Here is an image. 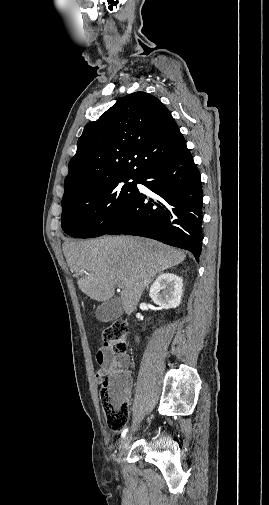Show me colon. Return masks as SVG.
I'll use <instances>...</instances> for the list:
<instances>
[{
  "label": "colon",
  "mask_w": 269,
  "mask_h": 505,
  "mask_svg": "<svg viewBox=\"0 0 269 505\" xmlns=\"http://www.w3.org/2000/svg\"><path fill=\"white\" fill-rule=\"evenodd\" d=\"M128 325L123 320L114 321L102 331L104 346L115 355L127 350ZM128 380L122 376H111L102 382L100 399L107 426L112 431L124 428L128 419Z\"/></svg>",
  "instance_id": "5ec220e1"
}]
</instances>
